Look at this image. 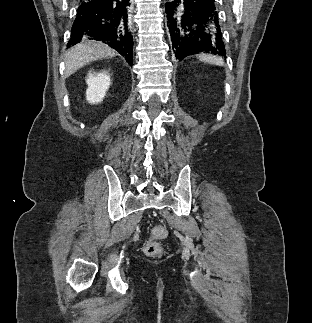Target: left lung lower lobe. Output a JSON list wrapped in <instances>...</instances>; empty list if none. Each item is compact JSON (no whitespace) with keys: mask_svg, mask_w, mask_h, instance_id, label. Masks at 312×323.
<instances>
[{"mask_svg":"<svg viewBox=\"0 0 312 323\" xmlns=\"http://www.w3.org/2000/svg\"><path fill=\"white\" fill-rule=\"evenodd\" d=\"M166 14L177 59L200 52L226 58L216 0H175L166 4Z\"/></svg>","mask_w":312,"mask_h":323,"instance_id":"0a47b994","label":"left lung lower lobe"}]
</instances>
